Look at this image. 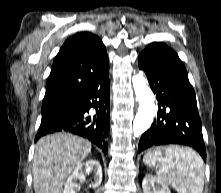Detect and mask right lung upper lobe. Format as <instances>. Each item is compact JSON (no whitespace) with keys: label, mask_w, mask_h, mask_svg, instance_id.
Listing matches in <instances>:
<instances>
[{"label":"right lung upper lobe","mask_w":221,"mask_h":193,"mask_svg":"<svg viewBox=\"0 0 221 193\" xmlns=\"http://www.w3.org/2000/svg\"><path fill=\"white\" fill-rule=\"evenodd\" d=\"M107 62L105 46L96 35L80 32L70 37L55 57L43 102L74 99Z\"/></svg>","instance_id":"cb5924a9"}]
</instances>
